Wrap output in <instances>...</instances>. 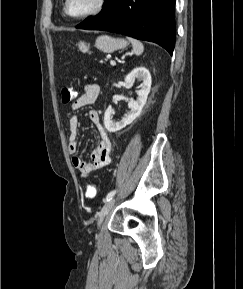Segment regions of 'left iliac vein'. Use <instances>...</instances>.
Masks as SVG:
<instances>
[{
  "instance_id": "left-iliac-vein-1",
  "label": "left iliac vein",
  "mask_w": 243,
  "mask_h": 289,
  "mask_svg": "<svg viewBox=\"0 0 243 289\" xmlns=\"http://www.w3.org/2000/svg\"><path fill=\"white\" fill-rule=\"evenodd\" d=\"M115 202H116L115 199H111L104 204V206L102 207V209L99 213L98 226H100L102 224L104 218L109 213V211L113 208Z\"/></svg>"
}]
</instances>
